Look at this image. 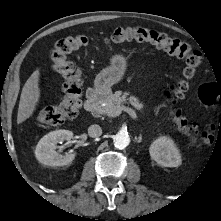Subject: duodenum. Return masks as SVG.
I'll return each instance as SVG.
<instances>
[{
	"label": "duodenum",
	"mask_w": 221,
	"mask_h": 221,
	"mask_svg": "<svg viewBox=\"0 0 221 221\" xmlns=\"http://www.w3.org/2000/svg\"><path fill=\"white\" fill-rule=\"evenodd\" d=\"M106 92L102 89H91L87 93V98L84 104V109L86 111H92L95 109L96 105L105 97Z\"/></svg>",
	"instance_id": "1"
}]
</instances>
